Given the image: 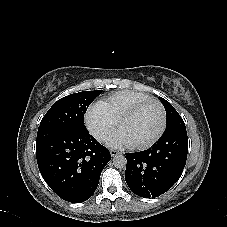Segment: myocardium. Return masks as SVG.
Masks as SVG:
<instances>
[{"label":"myocardium","mask_w":227,"mask_h":227,"mask_svg":"<svg viewBox=\"0 0 227 227\" xmlns=\"http://www.w3.org/2000/svg\"><path fill=\"white\" fill-rule=\"evenodd\" d=\"M148 103H156L160 107L161 114H162V122H161V126H160L159 130L157 131V133L154 135L153 138H151L149 141H147L145 143L134 144L132 146L133 148L139 149V150H144V149H148V148L152 147L161 139V137L165 133L168 118H167V112H166V108H165L164 104L157 98L149 97L148 99L135 104L126 113H124L117 121V129H118V131H120L121 127L126 122L133 119L135 117V115L139 112V110Z\"/></svg>","instance_id":"1"}]
</instances>
